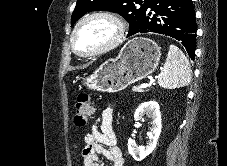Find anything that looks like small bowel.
Returning <instances> with one entry per match:
<instances>
[{"instance_id": "c3829d8e", "label": "small bowel", "mask_w": 227, "mask_h": 166, "mask_svg": "<svg viewBox=\"0 0 227 166\" xmlns=\"http://www.w3.org/2000/svg\"><path fill=\"white\" fill-rule=\"evenodd\" d=\"M84 166H123L124 159L117 146L113 129V109L106 106L84 137ZM110 164V165H109Z\"/></svg>"}]
</instances>
